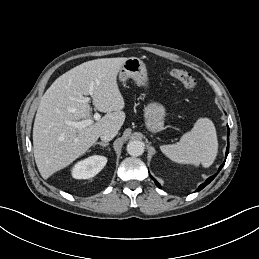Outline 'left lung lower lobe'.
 Returning a JSON list of instances; mask_svg holds the SVG:
<instances>
[{
    "mask_svg": "<svg viewBox=\"0 0 259 259\" xmlns=\"http://www.w3.org/2000/svg\"><path fill=\"white\" fill-rule=\"evenodd\" d=\"M228 129H229V127H228ZM228 136H229V133H228ZM228 141H229V138H228ZM228 152H229V142H228V146H227V150H226V157H227V155H228ZM224 164H225V162L219 167V171L222 169V167L224 166ZM219 171H218V172H219ZM216 175H217V173H216L215 175L209 177L203 184H201V185L198 187L197 191H200V190H202L205 186H207V185L216 177ZM150 176H151V175H150ZM151 178L154 180V182L156 183V185H157L159 188H161L160 184H159L152 176H151Z\"/></svg>",
    "mask_w": 259,
    "mask_h": 259,
    "instance_id": "obj_1",
    "label": "left lung lower lobe"
}]
</instances>
